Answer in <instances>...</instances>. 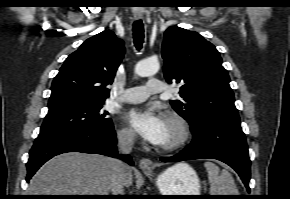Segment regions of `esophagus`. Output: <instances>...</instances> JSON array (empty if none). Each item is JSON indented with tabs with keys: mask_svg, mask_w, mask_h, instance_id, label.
Wrapping results in <instances>:
<instances>
[{
	"mask_svg": "<svg viewBox=\"0 0 290 199\" xmlns=\"http://www.w3.org/2000/svg\"><path fill=\"white\" fill-rule=\"evenodd\" d=\"M134 17L136 19H141L142 18V14L136 13V14H134ZM139 167L144 172H150L153 169V163H152V161L150 159L143 158V159L140 160Z\"/></svg>",
	"mask_w": 290,
	"mask_h": 199,
	"instance_id": "esophagus-1",
	"label": "esophagus"
}]
</instances>
